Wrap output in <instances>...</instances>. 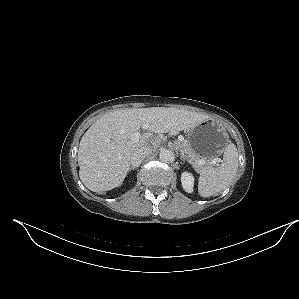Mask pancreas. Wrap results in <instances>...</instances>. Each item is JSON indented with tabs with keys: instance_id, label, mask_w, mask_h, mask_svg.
I'll list each match as a JSON object with an SVG mask.
<instances>
[{
	"instance_id": "cf45deb5",
	"label": "pancreas",
	"mask_w": 299,
	"mask_h": 299,
	"mask_svg": "<svg viewBox=\"0 0 299 299\" xmlns=\"http://www.w3.org/2000/svg\"><path fill=\"white\" fill-rule=\"evenodd\" d=\"M180 146L183 149L187 160L191 162L197 170L202 169L203 166L198 165V161L203 159L192 149L188 141H183Z\"/></svg>"
}]
</instances>
